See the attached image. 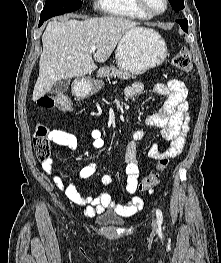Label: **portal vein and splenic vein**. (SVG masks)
I'll return each instance as SVG.
<instances>
[{"instance_id": "18ae733b", "label": "portal vein and splenic vein", "mask_w": 221, "mask_h": 263, "mask_svg": "<svg viewBox=\"0 0 221 263\" xmlns=\"http://www.w3.org/2000/svg\"><path fill=\"white\" fill-rule=\"evenodd\" d=\"M96 49H97V47H96V46H92V47L90 48V51H91V52H95V51H96Z\"/></svg>"}]
</instances>
